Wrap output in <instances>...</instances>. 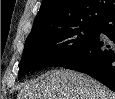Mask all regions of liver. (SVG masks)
Segmentation results:
<instances>
[{
  "mask_svg": "<svg viewBox=\"0 0 115 99\" xmlns=\"http://www.w3.org/2000/svg\"><path fill=\"white\" fill-rule=\"evenodd\" d=\"M17 99H115V93L85 74L53 70L24 84Z\"/></svg>",
  "mask_w": 115,
  "mask_h": 99,
  "instance_id": "6515ba94",
  "label": "liver"
}]
</instances>
